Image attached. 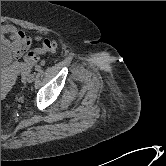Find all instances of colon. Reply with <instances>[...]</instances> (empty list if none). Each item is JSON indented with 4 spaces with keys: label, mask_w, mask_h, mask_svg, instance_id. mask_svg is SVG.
Segmentation results:
<instances>
[{
    "label": "colon",
    "mask_w": 166,
    "mask_h": 166,
    "mask_svg": "<svg viewBox=\"0 0 166 166\" xmlns=\"http://www.w3.org/2000/svg\"><path fill=\"white\" fill-rule=\"evenodd\" d=\"M58 43L53 38H46L43 40L40 47L30 50L24 57L23 68L26 69L32 62H34L40 55L56 51Z\"/></svg>",
    "instance_id": "5ec220e1"
}]
</instances>
